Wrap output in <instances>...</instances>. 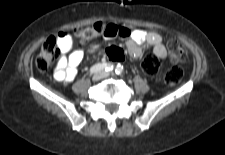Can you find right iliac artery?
Masks as SVG:
<instances>
[{"label": "right iliac artery", "instance_id": "right-iliac-artery-1", "mask_svg": "<svg viewBox=\"0 0 225 155\" xmlns=\"http://www.w3.org/2000/svg\"><path fill=\"white\" fill-rule=\"evenodd\" d=\"M114 68V66L112 64H108V63H98L93 65L90 68V74H94L100 71H112Z\"/></svg>", "mask_w": 225, "mask_h": 155}]
</instances>
